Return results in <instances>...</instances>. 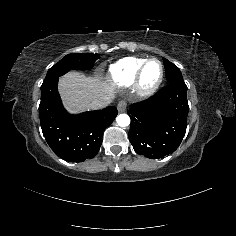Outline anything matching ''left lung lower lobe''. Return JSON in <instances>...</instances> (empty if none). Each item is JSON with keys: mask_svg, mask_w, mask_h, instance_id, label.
Returning <instances> with one entry per match:
<instances>
[{"mask_svg": "<svg viewBox=\"0 0 236 236\" xmlns=\"http://www.w3.org/2000/svg\"><path fill=\"white\" fill-rule=\"evenodd\" d=\"M188 111L184 81L170 82L149 99L132 104L128 136L134 150L150 159L173 153L185 135Z\"/></svg>", "mask_w": 236, "mask_h": 236, "instance_id": "1", "label": "left lung lower lobe"}]
</instances>
